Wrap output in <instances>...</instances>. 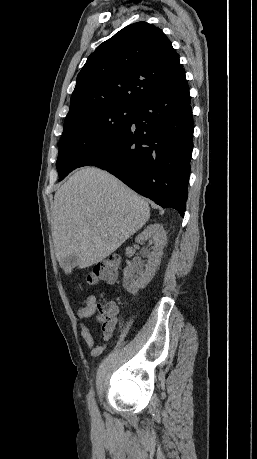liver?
<instances>
[{
	"mask_svg": "<svg viewBox=\"0 0 257 459\" xmlns=\"http://www.w3.org/2000/svg\"><path fill=\"white\" fill-rule=\"evenodd\" d=\"M149 204L120 180L96 167L75 172L55 193L52 238L65 274L102 261L140 230ZM77 256L69 266L64 259Z\"/></svg>",
	"mask_w": 257,
	"mask_h": 459,
	"instance_id": "liver-1",
	"label": "liver"
}]
</instances>
